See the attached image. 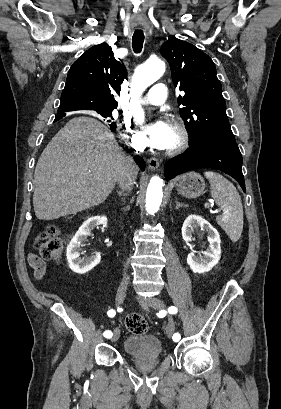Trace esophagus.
I'll use <instances>...</instances> for the list:
<instances>
[{"label": "esophagus", "instance_id": "esophagus-1", "mask_svg": "<svg viewBox=\"0 0 281 409\" xmlns=\"http://www.w3.org/2000/svg\"><path fill=\"white\" fill-rule=\"evenodd\" d=\"M148 165L150 169L156 170L159 167V160L156 159L155 157H152L151 159L148 160Z\"/></svg>", "mask_w": 281, "mask_h": 409}]
</instances>
